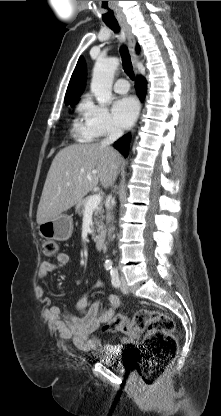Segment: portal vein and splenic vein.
<instances>
[{"mask_svg":"<svg viewBox=\"0 0 221 416\" xmlns=\"http://www.w3.org/2000/svg\"><path fill=\"white\" fill-rule=\"evenodd\" d=\"M100 194L92 195L85 205V213L93 211L101 203Z\"/></svg>","mask_w":221,"mask_h":416,"instance_id":"obj_1","label":"portal vein and splenic vein"}]
</instances>
